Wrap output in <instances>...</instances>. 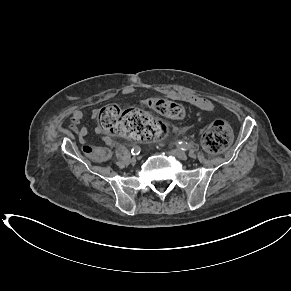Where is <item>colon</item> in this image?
Masks as SVG:
<instances>
[{
    "label": "colon",
    "instance_id": "5ec220e1",
    "mask_svg": "<svg viewBox=\"0 0 291 291\" xmlns=\"http://www.w3.org/2000/svg\"><path fill=\"white\" fill-rule=\"evenodd\" d=\"M147 106L153 111L168 117L179 119L184 116L183 107L163 97H151ZM102 131L114 135L126 136L137 141H151L159 137L164 124L146 111L137 108L122 110L117 105L103 107L98 114ZM232 129L222 118L214 120L202 137L204 148L213 154L224 151L231 143ZM84 153L92 159L102 161L108 157V151L102 147L85 145Z\"/></svg>",
    "mask_w": 291,
    "mask_h": 291
}]
</instances>
